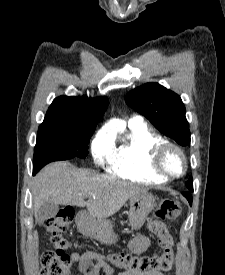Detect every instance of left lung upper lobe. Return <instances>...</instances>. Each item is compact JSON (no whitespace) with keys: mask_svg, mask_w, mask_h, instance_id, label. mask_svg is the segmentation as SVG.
I'll list each match as a JSON object with an SVG mask.
<instances>
[{"mask_svg":"<svg viewBox=\"0 0 225 275\" xmlns=\"http://www.w3.org/2000/svg\"><path fill=\"white\" fill-rule=\"evenodd\" d=\"M126 103L144 115L161 133L182 146L190 145L189 124L184 104L176 93L158 83H146L130 91ZM186 187L193 190L192 177Z\"/></svg>","mask_w":225,"mask_h":275,"instance_id":"left-lung-upper-lobe-1","label":"left lung upper lobe"}]
</instances>
